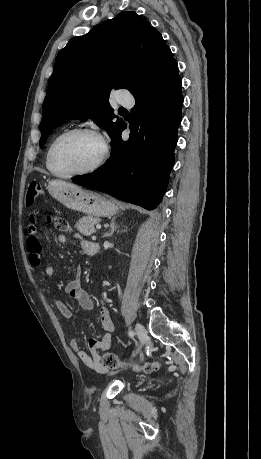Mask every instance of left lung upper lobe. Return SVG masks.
I'll return each mask as SVG.
<instances>
[{
    "label": "left lung upper lobe",
    "mask_w": 261,
    "mask_h": 459,
    "mask_svg": "<svg viewBox=\"0 0 261 459\" xmlns=\"http://www.w3.org/2000/svg\"><path fill=\"white\" fill-rule=\"evenodd\" d=\"M174 61L162 35L135 12L123 11L72 38L58 53L48 81L40 146L54 127L71 118L93 119L113 140L124 122L112 121L110 91L125 88L134 96Z\"/></svg>",
    "instance_id": "obj_1"
}]
</instances>
